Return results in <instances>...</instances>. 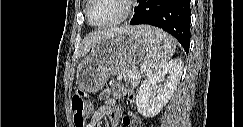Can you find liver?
<instances>
[{"label":"liver","mask_w":243,"mask_h":127,"mask_svg":"<svg viewBox=\"0 0 243 127\" xmlns=\"http://www.w3.org/2000/svg\"><path fill=\"white\" fill-rule=\"evenodd\" d=\"M141 28L139 27H122V28H115V29H110V30H101V31H96L91 33L86 37V39L83 42V48H82V54L85 55L89 52L90 48L97 43L98 41L106 38L113 36L117 33L121 32H131V31H137Z\"/></svg>","instance_id":"1"}]
</instances>
